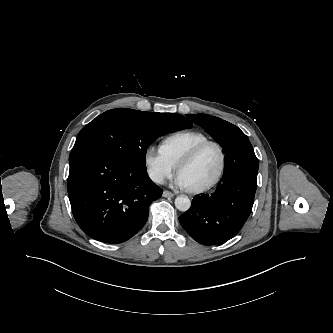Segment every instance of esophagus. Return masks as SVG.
Returning a JSON list of instances; mask_svg holds the SVG:
<instances>
[{
    "label": "esophagus",
    "instance_id": "obj_1",
    "mask_svg": "<svg viewBox=\"0 0 333 333\" xmlns=\"http://www.w3.org/2000/svg\"><path fill=\"white\" fill-rule=\"evenodd\" d=\"M173 196H174V194L172 192L167 191V190L163 191V197L172 198Z\"/></svg>",
    "mask_w": 333,
    "mask_h": 333
}]
</instances>
